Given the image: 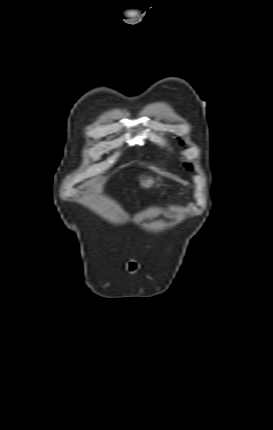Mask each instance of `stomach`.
Returning <instances> with one entry per match:
<instances>
[{"mask_svg": "<svg viewBox=\"0 0 273 430\" xmlns=\"http://www.w3.org/2000/svg\"><path fill=\"white\" fill-rule=\"evenodd\" d=\"M153 183H154L153 179L149 178V179H147L146 181H144L142 183V186L145 187V188H149V187L152 186Z\"/></svg>", "mask_w": 273, "mask_h": 430, "instance_id": "stomach-1", "label": "stomach"}]
</instances>
